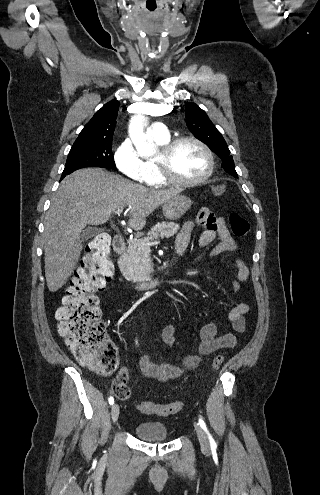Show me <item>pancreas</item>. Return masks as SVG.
Returning <instances> with one entry per match:
<instances>
[{
  "instance_id": "cf45deb5",
  "label": "pancreas",
  "mask_w": 320,
  "mask_h": 495,
  "mask_svg": "<svg viewBox=\"0 0 320 495\" xmlns=\"http://www.w3.org/2000/svg\"><path fill=\"white\" fill-rule=\"evenodd\" d=\"M180 225L174 222H162L155 225L151 231L148 232L147 237L144 239H131L128 240V249L121 256L118 261L120 270L132 282H141L147 272V268L150 266L147 258V250L150 249L142 243H150L151 240L158 237H171L178 232Z\"/></svg>"
}]
</instances>
